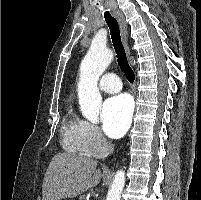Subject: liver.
<instances>
[{
  "instance_id": "1",
  "label": "liver",
  "mask_w": 201,
  "mask_h": 200,
  "mask_svg": "<svg viewBox=\"0 0 201 200\" xmlns=\"http://www.w3.org/2000/svg\"><path fill=\"white\" fill-rule=\"evenodd\" d=\"M101 179L97 161L71 153L56 154L46 170L42 200L74 198L95 187Z\"/></svg>"
}]
</instances>
